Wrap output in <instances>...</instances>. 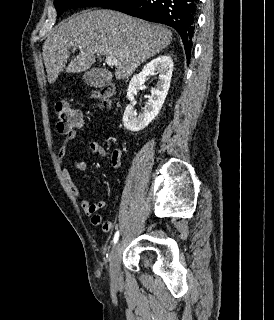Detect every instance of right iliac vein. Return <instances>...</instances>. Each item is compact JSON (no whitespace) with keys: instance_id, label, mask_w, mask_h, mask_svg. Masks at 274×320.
Segmentation results:
<instances>
[{"instance_id":"63e3f726","label":"right iliac vein","mask_w":274,"mask_h":320,"mask_svg":"<svg viewBox=\"0 0 274 320\" xmlns=\"http://www.w3.org/2000/svg\"><path fill=\"white\" fill-rule=\"evenodd\" d=\"M122 247L121 242H117L111 251L110 255V277L112 284L115 287L122 285V275L120 271V259H121Z\"/></svg>"}]
</instances>
